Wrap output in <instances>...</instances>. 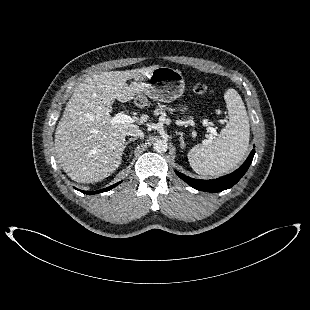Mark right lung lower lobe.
I'll use <instances>...</instances> for the list:
<instances>
[{"mask_svg": "<svg viewBox=\"0 0 310 310\" xmlns=\"http://www.w3.org/2000/svg\"><path fill=\"white\" fill-rule=\"evenodd\" d=\"M119 183H121V182H118V183H116V184H114V185H112V186H110V187H107V188H105V189H101V190H98V191H81L82 193H84V194H97V193H101V192H106V191H108V190H110V189H112V188H114L116 185H118Z\"/></svg>", "mask_w": 310, "mask_h": 310, "instance_id": "right-lung-lower-lobe-1", "label": "right lung lower lobe"}]
</instances>
